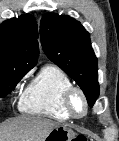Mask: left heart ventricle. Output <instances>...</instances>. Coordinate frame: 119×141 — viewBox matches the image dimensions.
<instances>
[{"mask_svg":"<svg viewBox=\"0 0 119 141\" xmlns=\"http://www.w3.org/2000/svg\"><path fill=\"white\" fill-rule=\"evenodd\" d=\"M73 106H74V109L77 111V112H81L82 109H83V104H82V101L79 97H75L74 98V101H73Z\"/></svg>","mask_w":119,"mask_h":141,"instance_id":"b2bd125f","label":"left heart ventricle"}]
</instances>
